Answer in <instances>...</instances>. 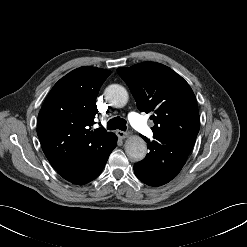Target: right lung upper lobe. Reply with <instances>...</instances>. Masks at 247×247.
<instances>
[{"mask_svg": "<svg viewBox=\"0 0 247 247\" xmlns=\"http://www.w3.org/2000/svg\"><path fill=\"white\" fill-rule=\"evenodd\" d=\"M109 70L83 66L61 78L38 115L37 134L44 154L57 170L99 149L114 133L91 130L98 113L96 97Z\"/></svg>", "mask_w": 247, "mask_h": 247, "instance_id": "right-lung-upper-lobe-1", "label": "right lung upper lobe"}]
</instances>
